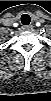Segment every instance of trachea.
<instances>
[{
  "instance_id": "1",
  "label": "trachea",
  "mask_w": 51,
  "mask_h": 101,
  "mask_svg": "<svg viewBox=\"0 0 51 101\" xmlns=\"http://www.w3.org/2000/svg\"><path fill=\"white\" fill-rule=\"evenodd\" d=\"M30 21H31V18H30V16L28 14H23L21 16V23L23 25H29L30 24Z\"/></svg>"
}]
</instances>
